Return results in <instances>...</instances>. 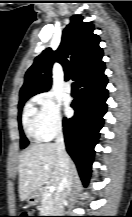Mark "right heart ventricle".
<instances>
[{
	"instance_id": "obj_1",
	"label": "right heart ventricle",
	"mask_w": 132,
	"mask_h": 217,
	"mask_svg": "<svg viewBox=\"0 0 132 217\" xmlns=\"http://www.w3.org/2000/svg\"><path fill=\"white\" fill-rule=\"evenodd\" d=\"M23 126L29 137L35 140L41 139L38 131V112L31 104L25 108Z\"/></svg>"
}]
</instances>
